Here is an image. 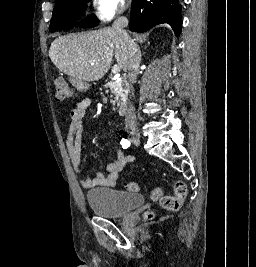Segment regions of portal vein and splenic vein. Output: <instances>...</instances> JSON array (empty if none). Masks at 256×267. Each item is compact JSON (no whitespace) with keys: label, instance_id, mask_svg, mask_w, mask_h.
I'll return each instance as SVG.
<instances>
[{"label":"portal vein and splenic vein","instance_id":"1","mask_svg":"<svg viewBox=\"0 0 256 267\" xmlns=\"http://www.w3.org/2000/svg\"><path fill=\"white\" fill-rule=\"evenodd\" d=\"M112 72L113 74H118V72H120V66H113Z\"/></svg>","mask_w":256,"mask_h":267}]
</instances>
